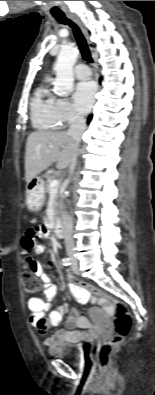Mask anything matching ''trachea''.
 <instances>
[{
    "label": "trachea",
    "instance_id": "3493384b",
    "mask_svg": "<svg viewBox=\"0 0 155 395\" xmlns=\"http://www.w3.org/2000/svg\"><path fill=\"white\" fill-rule=\"evenodd\" d=\"M54 18L59 23L69 25L72 28L73 34L77 40V43H78V46H79V49H80L83 59L88 62H92L91 53H90L88 44H87L85 37L83 36L80 28L78 27V25L75 22H73L71 19L67 18L65 16V14L54 15Z\"/></svg>",
    "mask_w": 155,
    "mask_h": 395
}]
</instances>
